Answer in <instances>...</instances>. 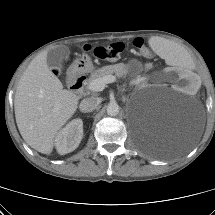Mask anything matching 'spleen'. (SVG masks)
I'll list each match as a JSON object with an SVG mask.
<instances>
[{"label":"spleen","instance_id":"obj_1","mask_svg":"<svg viewBox=\"0 0 215 215\" xmlns=\"http://www.w3.org/2000/svg\"><path fill=\"white\" fill-rule=\"evenodd\" d=\"M147 45L157 58L168 65L184 70H189L193 66V60L186 49L171 40L151 36L147 40Z\"/></svg>","mask_w":215,"mask_h":215}]
</instances>
